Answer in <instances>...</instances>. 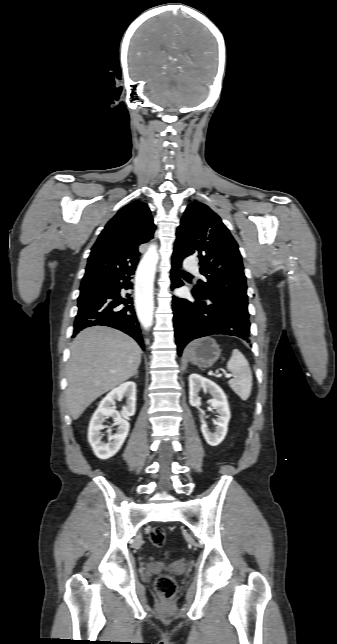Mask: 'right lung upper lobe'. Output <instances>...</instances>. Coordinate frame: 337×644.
Masks as SVG:
<instances>
[{
	"label": "right lung upper lobe",
	"mask_w": 337,
	"mask_h": 644,
	"mask_svg": "<svg viewBox=\"0 0 337 644\" xmlns=\"http://www.w3.org/2000/svg\"><path fill=\"white\" fill-rule=\"evenodd\" d=\"M155 225L146 203L134 201L107 223L91 249L82 283L105 281L136 266L138 246L153 238Z\"/></svg>",
	"instance_id": "1"
}]
</instances>
